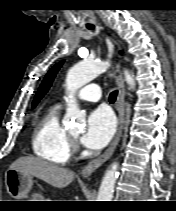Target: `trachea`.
Instances as JSON below:
<instances>
[{"label":"trachea","mask_w":176,"mask_h":211,"mask_svg":"<svg viewBox=\"0 0 176 211\" xmlns=\"http://www.w3.org/2000/svg\"><path fill=\"white\" fill-rule=\"evenodd\" d=\"M87 28L90 29V30H94V26L93 25L87 26ZM117 94H118L117 91H113V92L110 93L109 101L111 103L115 102Z\"/></svg>","instance_id":"obj_1"}]
</instances>
